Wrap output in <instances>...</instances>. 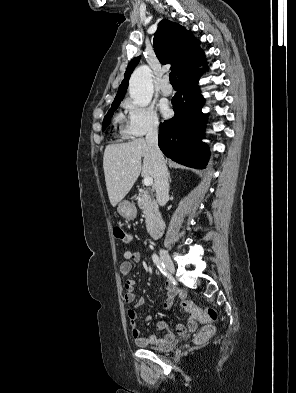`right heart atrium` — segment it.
Here are the masks:
<instances>
[{
  "label": "right heart atrium",
  "instance_id": "d8ad5b80",
  "mask_svg": "<svg viewBox=\"0 0 296 393\" xmlns=\"http://www.w3.org/2000/svg\"><path fill=\"white\" fill-rule=\"evenodd\" d=\"M124 107L128 113L127 132L130 136L139 138L159 129V118L152 106L138 105L128 99Z\"/></svg>",
  "mask_w": 296,
  "mask_h": 393
}]
</instances>
